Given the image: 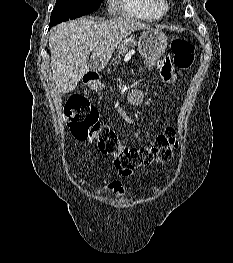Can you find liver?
Masks as SVG:
<instances>
[{"instance_id": "liver-1", "label": "liver", "mask_w": 233, "mask_h": 263, "mask_svg": "<svg viewBox=\"0 0 233 263\" xmlns=\"http://www.w3.org/2000/svg\"><path fill=\"white\" fill-rule=\"evenodd\" d=\"M149 28L129 17L99 22L80 18L57 25L49 36L52 77L56 87L63 94L73 91L90 69L100 71L106 67L124 38L134 31ZM92 45L94 48L90 52Z\"/></svg>"}]
</instances>
